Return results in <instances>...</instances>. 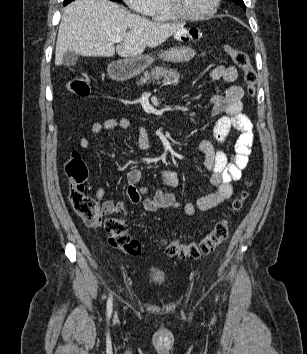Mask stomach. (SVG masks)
I'll return each instance as SVG.
<instances>
[{
	"label": "stomach",
	"mask_w": 307,
	"mask_h": 354,
	"mask_svg": "<svg viewBox=\"0 0 307 354\" xmlns=\"http://www.w3.org/2000/svg\"><path fill=\"white\" fill-rule=\"evenodd\" d=\"M189 31L196 34L197 36L192 35L191 38L176 39L183 43H187L193 38L200 37V33L197 29L191 28L189 29ZM194 55L195 51L191 47L186 45L174 47L159 54L160 58L170 62H187L191 60ZM153 61L154 58L151 55H139L137 57L126 58L111 65L109 68V73L112 77H116L119 79L131 78L143 72L153 63Z\"/></svg>",
	"instance_id": "obj_1"
}]
</instances>
